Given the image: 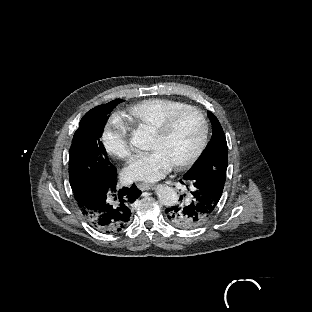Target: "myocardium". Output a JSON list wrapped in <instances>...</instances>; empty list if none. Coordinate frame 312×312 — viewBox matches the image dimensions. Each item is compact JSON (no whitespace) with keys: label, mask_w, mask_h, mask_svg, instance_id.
<instances>
[{"label":"myocardium","mask_w":312,"mask_h":312,"mask_svg":"<svg viewBox=\"0 0 312 312\" xmlns=\"http://www.w3.org/2000/svg\"><path fill=\"white\" fill-rule=\"evenodd\" d=\"M191 118L196 122V126L198 128V143L200 146L196 148V150L192 153V156H188L186 159L182 161H178L174 164V169L178 172L183 170H187L190 166L193 167L195 161L198 160L199 156L202 155L208 145L210 144L209 137V126L206 123L205 113L198 108L191 107H179L174 114H171L169 118L165 120V123L161 125V129L159 130V135L161 137H166L170 130L173 128V125L178 122V120Z\"/></svg>","instance_id":"myocardium-1"}]
</instances>
